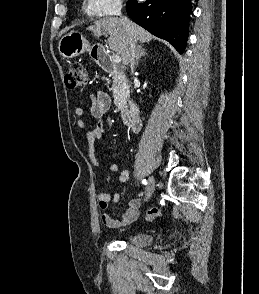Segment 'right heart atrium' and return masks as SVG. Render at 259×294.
<instances>
[{"label": "right heart atrium", "mask_w": 259, "mask_h": 294, "mask_svg": "<svg viewBox=\"0 0 259 294\" xmlns=\"http://www.w3.org/2000/svg\"><path fill=\"white\" fill-rule=\"evenodd\" d=\"M89 11L98 17L117 14L122 8V0H87Z\"/></svg>", "instance_id": "d8ad5b80"}]
</instances>
